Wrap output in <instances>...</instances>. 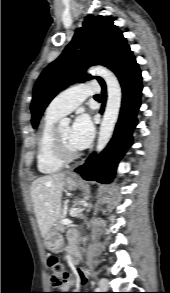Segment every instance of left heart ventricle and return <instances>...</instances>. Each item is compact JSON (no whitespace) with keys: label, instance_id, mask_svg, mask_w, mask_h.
<instances>
[{"label":"left heart ventricle","instance_id":"obj_1","mask_svg":"<svg viewBox=\"0 0 170 293\" xmlns=\"http://www.w3.org/2000/svg\"><path fill=\"white\" fill-rule=\"evenodd\" d=\"M58 135L66 151L71 152L76 150L70 142V128L68 126L58 128Z\"/></svg>","mask_w":170,"mask_h":293}]
</instances>
